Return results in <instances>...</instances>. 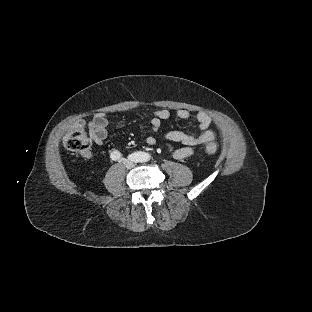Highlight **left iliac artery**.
Wrapping results in <instances>:
<instances>
[{"label": "left iliac artery", "instance_id": "44dca946", "mask_svg": "<svg viewBox=\"0 0 312 312\" xmlns=\"http://www.w3.org/2000/svg\"><path fill=\"white\" fill-rule=\"evenodd\" d=\"M135 157L138 159V162H142L146 159V154L145 153H136Z\"/></svg>", "mask_w": 312, "mask_h": 312}]
</instances>
